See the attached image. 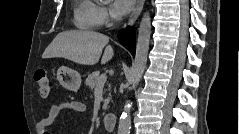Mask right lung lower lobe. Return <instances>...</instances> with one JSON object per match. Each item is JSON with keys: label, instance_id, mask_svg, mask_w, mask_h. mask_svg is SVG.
<instances>
[{"label": "right lung lower lobe", "instance_id": "98d812e1", "mask_svg": "<svg viewBox=\"0 0 239 134\" xmlns=\"http://www.w3.org/2000/svg\"><path fill=\"white\" fill-rule=\"evenodd\" d=\"M119 42L135 56V30L127 28L118 34Z\"/></svg>", "mask_w": 239, "mask_h": 134}]
</instances>
